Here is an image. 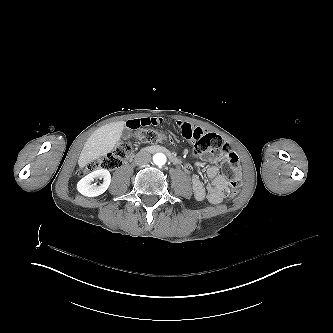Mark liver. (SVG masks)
Returning a JSON list of instances; mask_svg holds the SVG:
<instances>
[{"label": "liver", "mask_w": 333, "mask_h": 333, "mask_svg": "<svg viewBox=\"0 0 333 333\" xmlns=\"http://www.w3.org/2000/svg\"><path fill=\"white\" fill-rule=\"evenodd\" d=\"M125 124V121H117L97 128L87 139L79 155V168L84 169L93 161L113 152L121 140Z\"/></svg>", "instance_id": "1"}]
</instances>
